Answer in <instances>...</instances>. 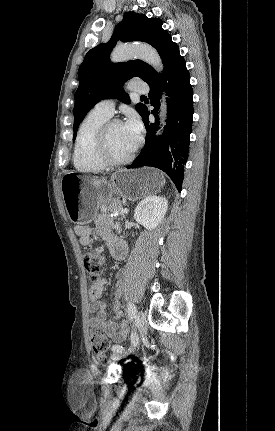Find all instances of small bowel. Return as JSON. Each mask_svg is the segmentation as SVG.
I'll use <instances>...</instances> for the list:
<instances>
[{"label":"small bowel","instance_id":"small-bowel-1","mask_svg":"<svg viewBox=\"0 0 275 431\" xmlns=\"http://www.w3.org/2000/svg\"><path fill=\"white\" fill-rule=\"evenodd\" d=\"M112 227L110 221L101 219L96 222L95 232L106 242L113 258L124 260L128 254L127 244L112 234ZM75 233L79 236L80 243L83 246H89L92 243V229L89 226L77 225ZM105 285L106 280L100 279L94 282L89 289V324L91 327L100 328L114 343H122L128 336L127 324L120 321L123 315L122 306L120 301L116 299L112 305L113 318L107 317L104 310L105 303L101 299ZM116 294L118 295L119 292Z\"/></svg>","mask_w":275,"mask_h":431}]
</instances>
